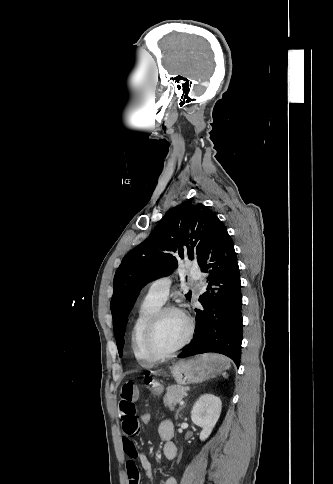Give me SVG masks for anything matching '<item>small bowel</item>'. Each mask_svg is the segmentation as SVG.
Wrapping results in <instances>:
<instances>
[{"label": "small bowel", "mask_w": 333, "mask_h": 484, "mask_svg": "<svg viewBox=\"0 0 333 484\" xmlns=\"http://www.w3.org/2000/svg\"><path fill=\"white\" fill-rule=\"evenodd\" d=\"M139 398V389L136 383L126 382L120 390V400L118 403V415L122 423L123 429V449L128 456L126 462V473L129 484H140L139 470L136 465V460L140 462L144 469L147 478L152 480V468L148 458L139 453L134 443L140 430L141 425L137 415L136 402ZM159 436L165 441L163 453L168 460H172L176 455V446L172 442L174 435L173 423L170 420L162 421L158 427ZM164 484H177L173 477H169L164 481Z\"/></svg>", "instance_id": "obj_1"}]
</instances>
